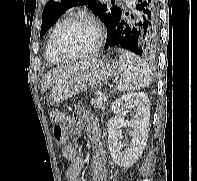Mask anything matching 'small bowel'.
<instances>
[{"label": "small bowel", "instance_id": "obj_1", "mask_svg": "<svg viewBox=\"0 0 197 181\" xmlns=\"http://www.w3.org/2000/svg\"><path fill=\"white\" fill-rule=\"evenodd\" d=\"M73 124L76 130L84 131L93 144L92 181H106L105 151L100 142V129L96 118L86 106L78 105L73 113ZM62 155L69 163L65 173L67 180L81 181L80 173L84 167L83 155L72 144L63 146Z\"/></svg>", "mask_w": 197, "mask_h": 181}]
</instances>
